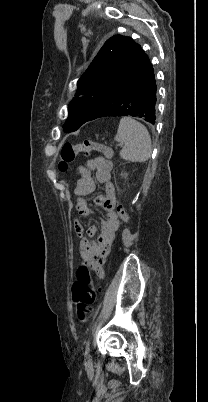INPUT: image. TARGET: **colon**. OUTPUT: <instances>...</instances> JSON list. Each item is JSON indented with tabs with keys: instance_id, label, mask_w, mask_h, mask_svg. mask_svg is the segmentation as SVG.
Returning a JSON list of instances; mask_svg holds the SVG:
<instances>
[{
	"instance_id": "5ec220e1",
	"label": "colon",
	"mask_w": 208,
	"mask_h": 402,
	"mask_svg": "<svg viewBox=\"0 0 208 402\" xmlns=\"http://www.w3.org/2000/svg\"><path fill=\"white\" fill-rule=\"evenodd\" d=\"M93 151L103 153L107 159L112 157V150L98 142L90 140H85L79 144L64 142L60 148L61 161L58 164L59 170L66 171L68 164L73 163L80 153L88 154ZM117 214L122 220L129 221L127 212L123 207L117 209ZM72 296L77 306V317L81 322H84L97 303L98 298V290L92 284L89 269L86 265H81L78 268L77 279L72 285Z\"/></svg>"
}]
</instances>
